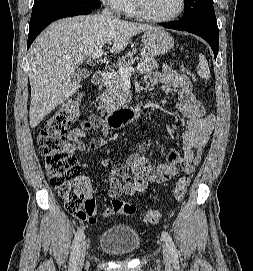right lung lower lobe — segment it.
<instances>
[{
	"label": "right lung lower lobe",
	"instance_id": "obj_1",
	"mask_svg": "<svg viewBox=\"0 0 253 271\" xmlns=\"http://www.w3.org/2000/svg\"><path fill=\"white\" fill-rule=\"evenodd\" d=\"M95 8H90L83 5H76L72 7H64L49 11L41 16H39L34 21L29 24V35L27 48L30 47L34 39L39 35V33L50 23L55 20L71 17L76 15H87L94 11Z\"/></svg>",
	"mask_w": 253,
	"mask_h": 271
}]
</instances>
